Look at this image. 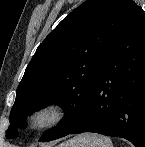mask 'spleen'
I'll return each mask as SVG.
<instances>
[{
    "instance_id": "obj_1",
    "label": "spleen",
    "mask_w": 145,
    "mask_h": 147,
    "mask_svg": "<svg viewBox=\"0 0 145 147\" xmlns=\"http://www.w3.org/2000/svg\"><path fill=\"white\" fill-rule=\"evenodd\" d=\"M66 147H113V144L106 136L84 133L70 140Z\"/></svg>"
}]
</instances>
